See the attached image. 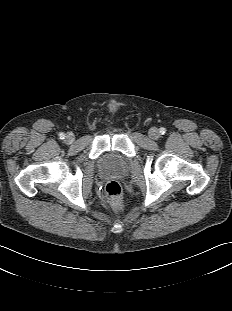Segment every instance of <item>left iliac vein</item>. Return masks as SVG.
Here are the masks:
<instances>
[{
	"label": "left iliac vein",
	"mask_w": 232,
	"mask_h": 311,
	"mask_svg": "<svg viewBox=\"0 0 232 311\" xmlns=\"http://www.w3.org/2000/svg\"><path fill=\"white\" fill-rule=\"evenodd\" d=\"M148 134H149V137L153 140H157L160 136L158 129L155 127L151 128Z\"/></svg>",
	"instance_id": "1"
}]
</instances>
